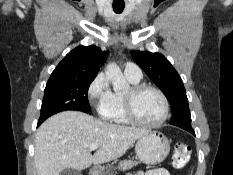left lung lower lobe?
Returning <instances> with one entry per match:
<instances>
[{
    "label": "left lung lower lobe",
    "mask_w": 233,
    "mask_h": 175,
    "mask_svg": "<svg viewBox=\"0 0 233 175\" xmlns=\"http://www.w3.org/2000/svg\"><path fill=\"white\" fill-rule=\"evenodd\" d=\"M188 132H190L191 134L195 135V132L194 130L191 128V129H187Z\"/></svg>",
    "instance_id": "left-lung-lower-lobe-1"
}]
</instances>
